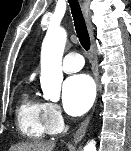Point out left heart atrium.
Segmentation results:
<instances>
[{
    "mask_svg": "<svg viewBox=\"0 0 131 151\" xmlns=\"http://www.w3.org/2000/svg\"><path fill=\"white\" fill-rule=\"evenodd\" d=\"M95 95L92 78L86 74L69 77L63 85V105L72 116L85 113L91 106Z\"/></svg>",
    "mask_w": 131,
    "mask_h": 151,
    "instance_id": "left-heart-atrium-1",
    "label": "left heart atrium"
}]
</instances>
